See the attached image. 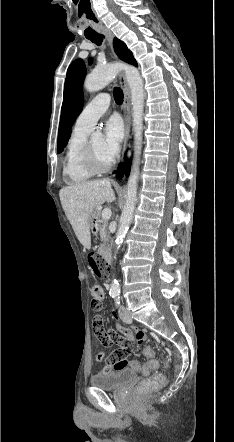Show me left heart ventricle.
Listing matches in <instances>:
<instances>
[{
	"label": "left heart ventricle",
	"instance_id": "obj_1",
	"mask_svg": "<svg viewBox=\"0 0 234 442\" xmlns=\"http://www.w3.org/2000/svg\"><path fill=\"white\" fill-rule=\"evenodd\" d=\"M91 145L101 163H107L110 160L104 151V141L102 139L92 141Z\"/></svg>",
	"mask_w": 234,
	"mask_h": 442
}]
</instances>
